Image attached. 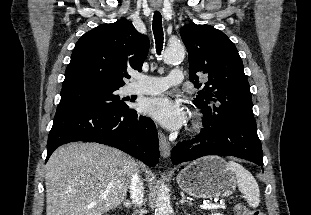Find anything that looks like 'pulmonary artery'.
I'll use <instances>...</instances> for the list:
<instances>
[{
    "label": "pulmonary artery",
    "mask_w": 311,
    "mask_h": 215,
    "mask_svg": "<svg viewBox=\"0 0 311 215\" xmlns=\"http://www.w3.org/2000/svg\"><path fill=\"white\" fill-rule=\"evenodd\" d=\"M183 79L184 73L180 68L172 69L167 77L138 75L136 82L129 86L128 92L131 94H158L170 86L180 84Z\"/></svg>",
    "instance_id": "1"
}]
</instances>
